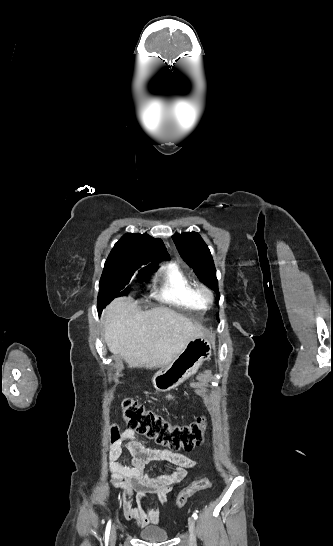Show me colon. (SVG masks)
<instances>
[{
    "mask_svg": "<svg viewBox=\"0 0 333 546\" xmlns=\"http://www.w3.org/2000/svg\"><path fill=\"white\" fill-rule=\"evenodd\" d=\"M123 418L129 429L136 431L157 443L171 449L192 451L204 441L205 418L198 417L188 425H171L161 416L147 409L141 403L126 399L122 403ZM118 429L113 428L111 439L116 440ZM211 483L208 479L193 481L183 489L176 498V506L182 508L188 498L194 493L208 489Z\"/></svg>",
    "mask_w": 333,
    "mask_h": 546,
    "instance_id": "5ec220e1",
    "label": "colon"
}]
</instances>
